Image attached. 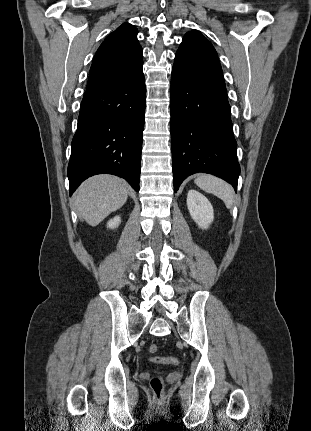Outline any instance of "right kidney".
<instances>
[{"mask_svg": "<svg viewBox=\"0 0 311 431\" xmlns=\"http://www.w3.org/2000/svg\"><path fill=\"white\" fill-rule=\"evenodd\" d=\"M121 219L120 216H115L113 217V219H109L108 223H107V227H117V225H119Z\"/></svg>", "mask_w": 311, "mask_h": 431, "instance_id": "obj_1", "label": "right kidney"}]
</instances>
